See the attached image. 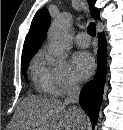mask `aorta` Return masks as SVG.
Here are the masks:
<instances>
[{
    "instance_id": "1",
    "label": "aorta",
    "mask_w": 123,
    "mask_h": 130,
    "mask_svg": "<svg viewBox=\"0 0 123 130\" xmlns=\"http://www.w3.org/2000/svg\"><path fill=\"white\" fill-rule=\"evenodd\" d=\"M70 14L64 12L58 17L49 28L48 35L51 48L56 56L63 54L69 44L68 29Z\"/></svg>"
}]
</instances>
